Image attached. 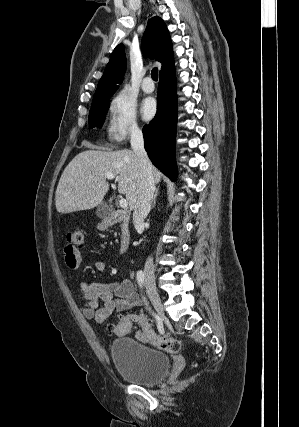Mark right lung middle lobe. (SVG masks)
<instances>
[{
    "mask_svg": "<svg viewBox=\"0 0 299 427\" xmlns=\"http://www.w3.org/2000/svg\"><path fill=\"white\" fill-rule=\"evenodd\" d=\"M110 97L111 96H105L92 101L88 119L91 128L95 126L100 128L102 126L105 114L109 108L108 100Z\"/></svg>",
    "mask_w": 299,
    "mask_h": 427,
    "instance_id": "1",
    "label": "right lung middle lobe"
}]
</instances>
